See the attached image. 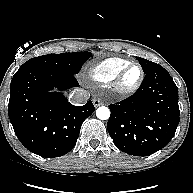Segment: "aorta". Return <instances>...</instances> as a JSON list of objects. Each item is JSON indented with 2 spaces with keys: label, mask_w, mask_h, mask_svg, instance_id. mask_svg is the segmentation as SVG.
Listing matches in <instances>:
<instances>
[{
  "label": "aorta",
  "mask_w": 193,
  "mask_h": 193,
  "mask_svg": "<svg viewBox=\"0 0 193 193\" xmlns=\"http://www.w3.org/2000/svg\"><path fill=\"white\" fill-rule=\"evenodd\" d=\"M97 118L101 120H107L110 117V110L108 107L101 106L96 110Z\"/></svg>",
  "instance_id": "1"
}]
</instances>
